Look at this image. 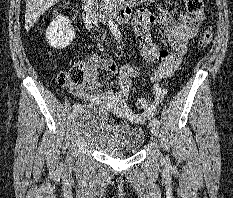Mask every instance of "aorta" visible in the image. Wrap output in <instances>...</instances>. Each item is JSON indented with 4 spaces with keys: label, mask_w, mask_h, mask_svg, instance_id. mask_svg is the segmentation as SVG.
<instances>
[{
    "label": "aorta",
    "mask_w": 233,
    "mask_h": 198,
    "mask_svg": "<svg viewBox=\"0 0 233 198\" xmlns=\"http://www.w3.org/2000/svg\"><path fill=\"white\" fill-rule=\"evenodd\" d=\"M108 25H109L110 31L114 35L115 39L120 40L121 32L119 31L117 24L113 20L109 19Z\"/></svg>",
    "instance_id": "1"
}]
</instances>
